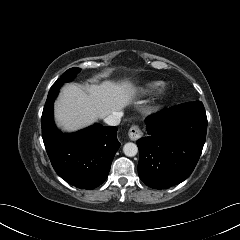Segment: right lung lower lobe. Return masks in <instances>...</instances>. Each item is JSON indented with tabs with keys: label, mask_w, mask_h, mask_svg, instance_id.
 Listing matches in <instances>:
<instances>
[{
	"label": "right lung lower lobe",
	"mask_w": 240,
	"mask_h": 240,
	"mask_svg": "<svg viewBox=\"0 0 240 240\" xmlns=\"http://www.w3.org/2000/svg\"><path fill=\"white\" fill-rule=\"evenodd\" d=\"M58 92L48 94L41 118L47 154L56 173L69 184L94 189L107 178L120 147L117 127L96 123L85 130L63 134L53 120V103Z\"/></svg>",
	"instance_id": "obj_1"
}]
</instances>
